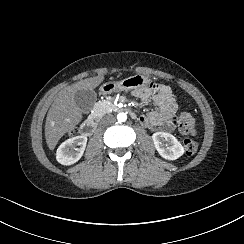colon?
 <instances>
[{"mask_svg": "<svg viewBox=\"0 0 244 244\" xmlns=\"http://www.w3.org/2000/svg\"><path fill=\"white\" fill-rule=\"evenodd\" d=\"M175 121L178 123V130L185 137L183 142L185 153L195 154L199 150V143L193 138L197 135L194 117L188 112H182L175 118Z\"/></svg>", "mask_w": 244, "mask_h": 244, "instance_id": "1", "label": "colon"}]
</instances>
